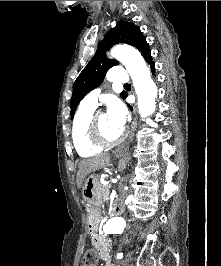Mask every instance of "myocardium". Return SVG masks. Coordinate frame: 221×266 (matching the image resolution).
I'll return each mask as SVG.
<instances>
[{"mask_svg":"<svg viewBox=\"0 0 221 266\" xmlns=\"http://www.w3.org/2000/svg\"><path fill=\"white\" fill-rule=\"evenodd\" d=\"M100 114H102V112L93 113L90 119V122H89V138L91 142L102 148L112 147V146H115L121 143L126 136V132L122 130L116 139H113V140L107 139L102 134L99 123H98V117Z\"/></svg>","mask_w":221,"mask_h":266,"instance_id":"obj_1","label":"myocardium"}]
</instances>
